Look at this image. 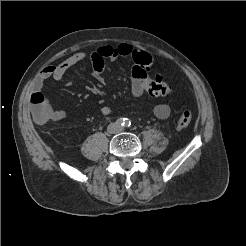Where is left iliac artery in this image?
<instances>
[{"label":"left iliac artery","mask_w":246,"mask_h":246,"mask_svg":"<svg viewBox=\"0 0 246 246\" xmlns=\"http://www.w3.org/2000/svg\"><path fill=\"white\" fill-rule=\"evenodd\" d=\"M124 126H125V127L131 126V121H130L128 118H125V119H124Z\"/></svg>","instance_id":"44dca946"}]
</instances>
